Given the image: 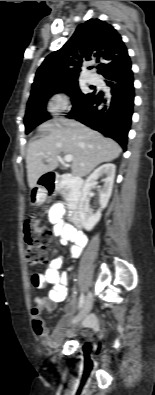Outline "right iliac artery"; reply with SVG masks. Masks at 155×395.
I'll return each mask as SVG.
<instances>
[{
  "mask_svg": "<svg viewBox=\"0 0 155 395\" xmlns=\"http://www.w3.org/2000/svg\"><path fill=\"white\" fill-rule=\"evenodd\" d=\"M84 301H85V296H84V294H81L80 299H79V304H78L79 309L83 306Z\"/></svg>",
  "mask_w": 155,
  "mask_h": 395,
  "instance_id": "obj_1",
  "label": "right iliac artery"
}]
</instances>
